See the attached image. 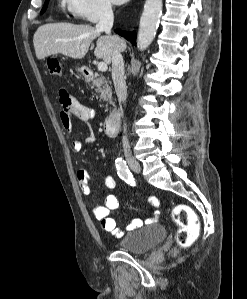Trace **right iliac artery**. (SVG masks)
Returning a JSON list of instances; mask_svg holds the SVG:
<instances>
[{"mask_svg":"<svg viewBox=\"0 0 247 299\" xmlns=\"http://www.w3.org/2000/svg\"><path fill=\"white\" fill-rule=\"evenodd\" d=\"M115 162H116L118 176L122 180H124L127 184L134 186L135 181H134V178L132 177L130 170L128 169L126 161H124L122 158H118V159H116Z\"/></svg>","mask_w":247,"mask_h":299,"instance_id":"obj_1","label":"right iliac artery"}]
</instances>
